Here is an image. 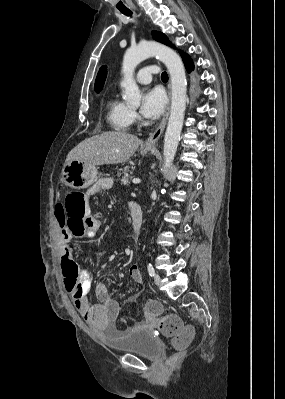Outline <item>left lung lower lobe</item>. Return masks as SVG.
Masks as SVG:
<instances>
[{"mask_svg": "<svg viewBox=\"0 0 285 399\" xmlns=\"http://www.w3.org/2000/svg\"><path fill=\"white\" fill-rule=\"evenodd\" d=\"M181 56L183 58L186 70L190 73L194 69L193 61L186 53L181 52Z\"/></svg>", "mask_w": 285, "mask_h": 399, "instance_id": "0a47b994", "label": "left lung lower lobe"}]
</instances>
